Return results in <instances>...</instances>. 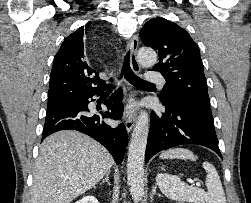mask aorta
<instances>
[{"label": "aorta", "mask_w": 251, "mask_h": 203, "mask_svg": "<svg viewBox=\"0 0 251 203\" xmlns=\"http://www.w3.org/2000/svg\"><path fill=\"white\" fill-rule=\"evenodd\" d=\"M139 62L144 66H152L157 61V54L151 48L138 51ZM149 131V115L145 111L139 114L129 145L127 159V180L130 193L135 202L144 195V162Z\"/></svg>", "instance_id": "1"}]
</instances>
